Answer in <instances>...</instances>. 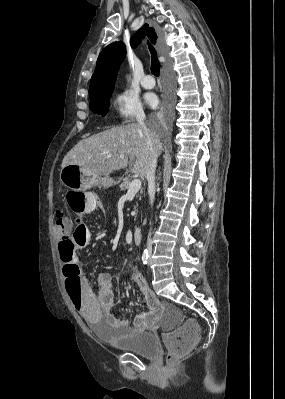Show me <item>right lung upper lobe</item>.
Listing matches in <instances>:
<instances>
[{
  "instance_id": "cb5924a9",
  "label": "right lung upper lobe",
  "mask_w": 285,
  "mask_h": 399,
  "mask_svg": "<svg viewBox=\"0 0 285 399\" xmlns=\"http://www.w3.org/2000/svg\"><path fill=\"white\" fill-rule=\"evenodd\" d=\"M139 33H142V36L148 35L152 43H156L157 35L154 29L146 24L132 37V47H136L139 44ZM125 53V45L121 41L114 42L101 51L90 82V99L103 93L113 92L118 69L125 57Z\"/></svg>"
}]
</instances>
